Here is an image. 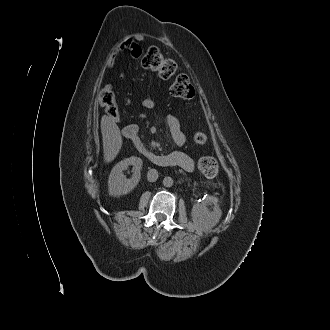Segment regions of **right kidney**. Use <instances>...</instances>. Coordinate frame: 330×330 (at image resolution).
<instances>
[{
  "mask_svg": "<svg viewBox=\"0 0 330 330\" xmlns=\"http://www.w3.org/2000/svg\"><path fill=\"white\" fill-rule=\"evenodd\" d=\"M133 166V174L130 179H127L123 174L128 166ZM142 159L132 156L117 163L111 170L108 179L109 194L114 197L131 192L139 183L141 178Z\"/></svg>",
  "mask_w": 330,
  "mask_h": 330,
  "instance_id": "right-kidney-1",
  "label": "right kidney"
}]
</instances>
